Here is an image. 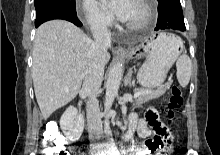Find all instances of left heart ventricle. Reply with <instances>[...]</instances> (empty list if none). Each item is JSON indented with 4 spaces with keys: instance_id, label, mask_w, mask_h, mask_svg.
Wrapping results in <instances>:
<instances>
[{
    "instance_id": "b2bd125f",
    "label": "left heart ventricle",
    "mask_w": 220,
    "mask_h": 155,
    "mask_svg": "<svg viewBox=\"0 0 220 155\" xmlns=\"http://www.w3.org/2000/svg\"><path fill=\"white\" fill-rule=\"evenodd\" d=\"M144 17V8L142 7V5L133 0L131 9L125 21L127 23H139L144 19Z\"/></svg>"
}]
</instances>
